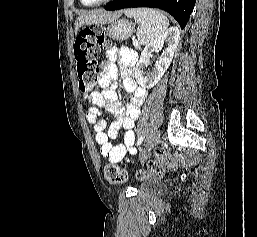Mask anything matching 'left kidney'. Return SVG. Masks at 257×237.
<instances>
[{"instance_id": "5707ae66", "label": "left kidney", "mask_w": 257, "mask_h": 237, "mask_svg": "<svg viewBox=\"0 0 257 237\" xmlns=\"http://www.w3.org/2000/svg\"><path fill=\"white\" fill-rule=\"evenodd\" d=\"M179 39V29L177 27H171L144 48L135 68V78L141 87L149 89L160 81L171 64ZM164 44L167 46L163 49L161 56L155 62L152 72L146 74L144 69L150 64L151 53L162 50Z\"/></svg>"}]
</instances>
